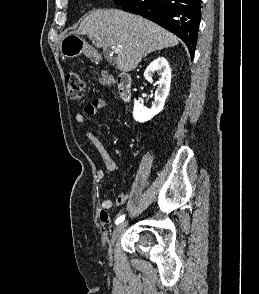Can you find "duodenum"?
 I'll return each mask as SVG.
<instances>
[{
    "instance_id": "1",
    "label": "duodenum",
    "mask_w": 259,
    "mask_h": 294,
    "mask_svg": "<svg viewBox=\"0 0 259 294\" xmlns=\"http://www.w3.org/2000/svg\"><path fill=\"white\" fill-rule=\"evenodd\" d=\"M118 95L124 102H128L132 96V79L129 74L122 73L117 78Z\"/></svg>"
}]
</instances>
